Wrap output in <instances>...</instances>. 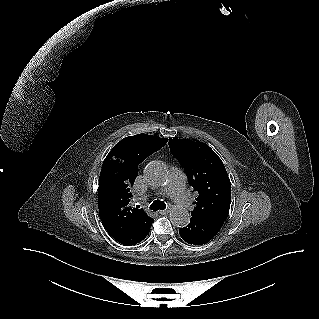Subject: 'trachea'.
<instances>
[{"label": "trachea", "mask_w": 319, "mask_h": 319, "mask_svg": "<svg viewBox=\"0 0 319 319\" xmlns=\"http://www.w3.org/2000/svg\"><path fill=\"white\" fill-rule=\"evenodd\" d=\"M166 208V204L164 201L155 200L151 205L150 209L153 211L164 210Z\"/></svg>", "instance_id": "trachea-1"}]
</instances>
